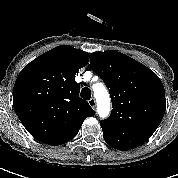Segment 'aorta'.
I'll use <instances>...</instances> for the list:
<instances>
[{
  "mask_svg": "<svg viewBox=\"0 0 178 178\" xmlns=\"http://www.w3.org/2000/svg\"><path fill=\"white\" fill-rule=\"evenodd\" d=\"M94 96L97 101V112L101 118H105L110 113V97L103 84H95L93 86Z\"/></svg>",
  "mask_w": 178,
  "mask_h": 178,
  "instance_id": "1",
  "label": "aorta"
}]
</instances>
